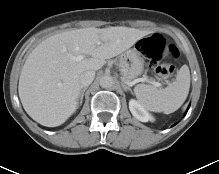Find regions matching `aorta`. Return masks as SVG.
Returning a JSON list of instances; mask_svg holds the SVG:
<instances>
[{
  "label": "aorta",
  "instance_id": "obj_1",
  "mask_svg": "<svg viewBox=\"0 0 219 174\" xmlns=\"http://www.w3.org/2000/svg\"><path fill=\"white\" fill-rule=\"evenodd\" d=\"M114 84V80L110 75H104L100 78V86L102 88H110Z\"/></svg>",
  "mask_w": 219,
  "mask_h": 174
}]
</instances>
